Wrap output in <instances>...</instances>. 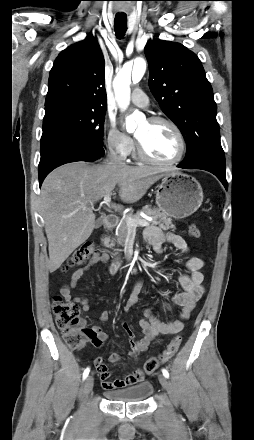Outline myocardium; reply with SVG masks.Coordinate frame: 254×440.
Returning a JSON list of instances; mask_svg holds the SVG:
<instances>
[{"mask_svg": "<svg viewBox=\"0 0 254 440\" xmlns=\"http://www.w3.org/2000/svg\"><path fill=\"white\" fill-rule=\"evenodd\" d=\"M148 121L153 124L163 123L173 129V131L176 133L178 140H179V144H180L179 153L176 156V158H174L173 160H170V161H160V160L154 159L146 152L142 143L136 137V149H137L138 157L141 160H143L144 162H147L152 165H157V166L167 167V166H173V165L178 164L184 158L185 153H186V149H187V143H186L185 136H184L183 132L181 131V129L179 128V126L171 119H169L167 117H163V116H153V117L149 118Z\"/></svg>", "mask_w": 254, "mask_h": 440, "instance_id": "obj_1", "label": "myocardium"}]
</instances>
